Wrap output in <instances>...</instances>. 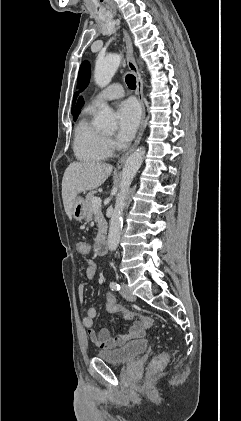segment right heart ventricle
I'll use <instances>...</instances> for the list:
<instances>
[{"label": "right heart ventricle", "instance_id": "e07e8e85", "mask_svg": "<svg viewBox=\"0 0 241 421\" xmlns=\"http://www.w3.org/2000/svg\"><path fill=\"white\" fill-rule=\"evenodd\" d=\"M92 112L93 108H86L75 128L73 140L76 157L85 162L103 161L111 154L105 134L94 127L90 120Z\"/></svg>", "mask_w": 241, "mask_h": 421}]
</instances>
